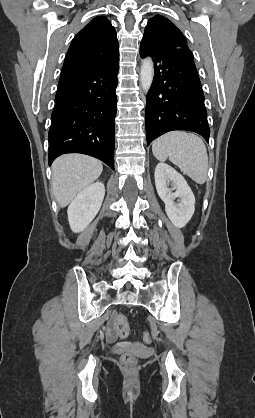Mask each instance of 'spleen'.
<instances>
[{"instance_id":"spleen-1","label":"spleen","mask_w":255,"mask_h":418,"mask_svg":"<svg viewBox=\"0 0 255 418\" xmlns=\"http://www.w3.org/2000/svg\"><path fill=\"white\" fill-rule=\"evenodd\" d=\"M152 152L159 161L169 159L196 183L206 182L208 154L203 140L197 135L183 131L168 132L153 141Z\"/></svg>"}]
</instances>
